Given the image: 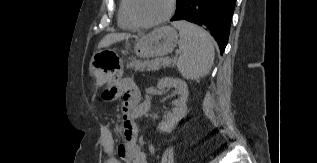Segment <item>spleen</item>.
<instances>
[{"label": "spleen", "mask_w": 317, "mask_h": 163, "mask_svg": "<svg viewBox=\"0 0 317 163\" xmlns=\"http://www.w3.org/2000/svg\"><path fill=\"white\" fill-rule=\"evenodd\" d=\"M173 26L180 33L177 67L181 75L186 79L198 80L209 74L215 55L210 34L186 21H176Z\"/></svg>", "instance_id": "spleen-1"}]
</instances>
